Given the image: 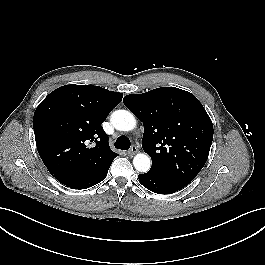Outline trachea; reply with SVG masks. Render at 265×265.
Returning a JSON list of instances; mask_svg holds the SVG:
<instances>
[{
    "mask_svg": "<svg viewBox=\"0 0 265 265\" xmlns=\"http://www.w3.org/2000/svg\"><path fill=\"white\" fill-rule=\"evenodd\" d=\"M115 147L121 150H128L130 148V140L126 136H120L115 142Z\"/></svg>",
    "mask_w": 265,
    "mask_h": 265,
    "instance_id": "trachea-1",
    "label": "trachea"
}]
</instances>
